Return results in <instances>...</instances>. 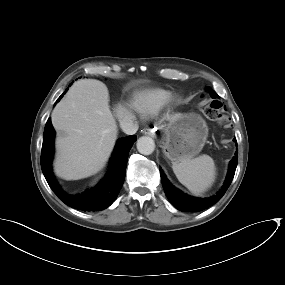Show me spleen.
<instances>
[{
	"label": "spleen",
	"instance_id": "3e777b00",
	"mask_svg": "<svg viewBox=\"0 0 285 285\" xmlns=\"http://www.w3.org/2000/svg\"><path fill=\"white\" fill-rule=\"evenodd\" d=\"M172 169L179 182L195 195L207 191L216 178L214 160L208 155L173 162Z\"/></svg>",
	"mask_w": 285,
	"mask_h": 285
}]
</instances>
